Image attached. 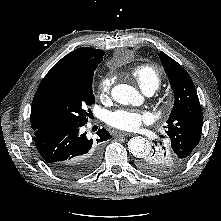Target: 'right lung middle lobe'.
I'll use <instances>...</instances> for the list:
<instances>
[{"label": "right lung middle lobe", "mask_w": 221, "mask_h": 221, "mask_svg": "<svg viewBox=\"0 0 221 221\" xmlns=\"http://www.w3.org/2000/svg\"><path fill=\"white\" fill-rule=\"evenodd\" d=\"M100 62H89L63 77L47 82L39 92V104L46 124L52 129H70L88 121L94 104L92 79Z\"/></svg>", "instance_id": "right-lung-middle-lobe-1"}]
</instances>
